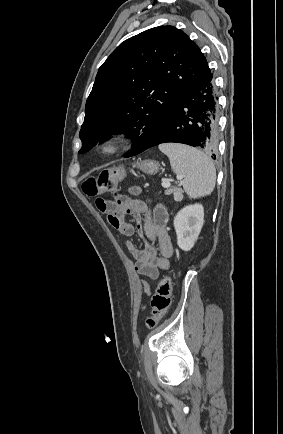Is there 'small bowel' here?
I'll return each instance as SVG.
<instances>
[{"mask_svg":"<svg viewBox=\"0 0 283 434\" xmlns=\"http://www.w3.org/2000/svg\"><path fill=\"white\" fill-rule=\"evenodd\" d=\"M132 193L135 194L136 190L133 189ZM96 205L107 214L109 224L121 235L129 238L137 231L145 241L144 249H138L129 239L125 241L138 273L157 279L161 270L170 268L173 246L167 229L168 213L162 205L151 207L147 200L132 198L118 201L97 199ZM126 216L133 217L136 225L126 221ZM143 289L150 294L146 282H143Z\"/></svg>","mask_w":283,"mask_h":434,"instance_id":"obj_1","label":"small bowel"}]
</instances>
